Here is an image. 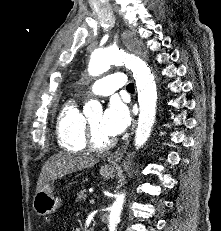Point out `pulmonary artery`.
<instances>
[{"mask_svg": "<svg viewBox=\"0 0 221 231\" xmlns=\"http://www.w3.org/2000/svg\"><path fill=\"white\" fill-rule=\"evenodd\" d=\"M127 85L124 74L116 72L94 82L89 91L93 95L108 96L119 88L127 87Z\"/></svg>", "mask_w": 221, "mask_h": 231, "instance_id": "obj_1", "label": "pulmonary artery"}]
</instances>
